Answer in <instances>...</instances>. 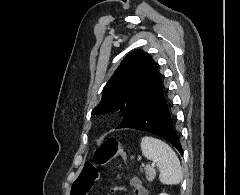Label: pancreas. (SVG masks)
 Wrapping results in <instances>:
<instances>
[{"label": "pancreas", "instance_id": "1", "mask_svg": "<svg viewBox=\"0 0 240 195\" xmlns=\"http://www.w3.org/2000/svg\"><path fill=\"white\" fill-rule=\"evenodd\" d=\"M141 169H142V167H141ZM144 169H145V173H146V177H147L148 181H153V179L156 175V171H155L154 167H151V165H145Z\"/></svg>", "mask_w": 240, "mask_h": 195}]
</instances>
